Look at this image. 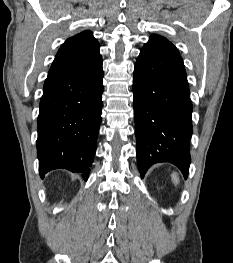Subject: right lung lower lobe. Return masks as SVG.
<instances>
[{
    "label": "right lung lower lobe",
    "mask_w": 233,
    "mask_h": 263,
    "mask_svg": "<svg viewBox=\"0 0 233 263\" xmlns=\"http://www.w3.org/2000/svg\"><path fill=\"white\" fill-rule=\"evenodd\" d=\"M103 75L101 59L86 74L45 80L36 143L41 178L66 168L87 180L101 123Z\"/></svg>",
    "instance_id": "right-lung-lower-lobe-1"
}]
</instances>
